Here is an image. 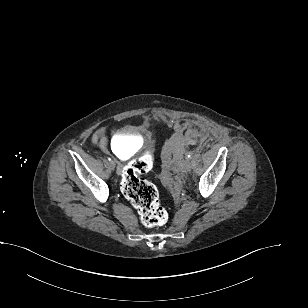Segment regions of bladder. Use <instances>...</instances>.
I'll list each match as a JSON object with an SVG mask.
<instances>
[{
  "instance_id": "bladder-1",
  "label": "bladder",
  "mask_w": 308,
  "mask_h": 308,
  "mask_svg": "<svg viewBox=\"0 0 308 308\" xmlns=\"http://www.w3.org/2000/svg\"><path fill=\"white\" fill-rule=\"evenodd\" d=\"M140 146L141 140L137 131L130 128L118 131L111 141L113 152L121 159L128 158Z\"/></svg>"
}]
</instances>
